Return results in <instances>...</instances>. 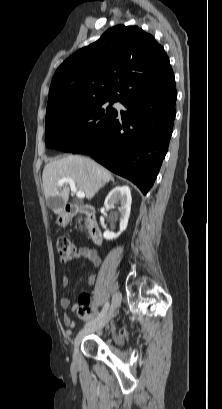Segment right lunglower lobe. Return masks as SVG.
Here are the masks:
<instances>
[{"label": "right lung lower lobe", "mask_w": 222, "mask_h": 409, "mask_svg": "<svg viewBox=\"0 0 222 409\" xmlns=\"http://www.w3.org/2000/svg\"><path fill=\"white\" fill-rule=\"evenodd\" d=\"M161 77L166 89L122 101L127 111L116 112L105 140L83 153L132 181L143 194L153 185L167 153L176 115L174 74Z\"/></svg>", "instance_id": "right-lung-lower-lobe-1"}]
</instances>
